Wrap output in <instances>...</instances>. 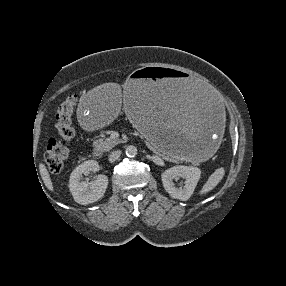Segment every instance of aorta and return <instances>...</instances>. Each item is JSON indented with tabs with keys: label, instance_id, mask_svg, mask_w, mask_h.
<instances>
[{
	"label": "aorta",
	"instance_id": "762f6f07",
	"mask_svg": "<svg viewBox=\"0 0 286 286\" xmlns=\"http://www.w3.org/2000/svg\"><path fill=\"white\" fill-rule=\"evenodd\" d=\"M125 152L128 157H135L137 155V148L133 145H129Z\"/></svg>",
	"mask_w": 286,
	"mask_h": 286
}]
</instances>
